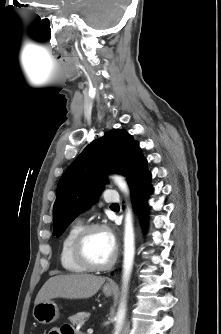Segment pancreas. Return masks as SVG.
Here are the masks:
<instances>
[{"instance_id":"pancreas-1","label":"pancreas","mask_w":221,"mask_h":334,"mask_svg":"<svg viewBox=\"0 0 221 334\" xmlns=\"http://www.w3.org/2000/svg\"><path fill=\"white\" fill-rule=\"evenodd\" d=\"M90 314L86 312L77 313L69 318L74 325H82L89 318Z\"/></svg>"}]
</instances>
